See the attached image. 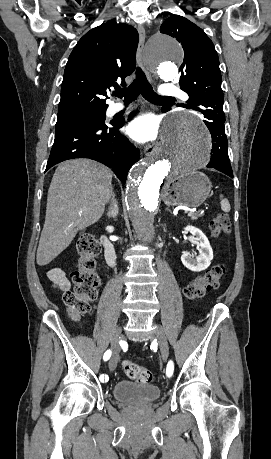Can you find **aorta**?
<instances>
[{
    "mask_svg": "<svg viewBox=\"0 0 271 459\" xmlns=\"http://www.w3.org/2000/svg\"><path fill=\"white\" fill-rule=\"evenodd\" d=\"M146 58L162 79L171 81L177 75L176 63L182 60L183 50L175 39L160 35L149 42ZM209 160L210 138L204 124L185 112L169 116L156 153L134 165L127 182L129 218L143 242H151L155 237L154 220L164 179L196 172Z\"/></svg>",
    "mask_w": 271,
    "mask_h": 459,
    "instance_id": "1",
    "label": "aorta"
}]
</instances>
